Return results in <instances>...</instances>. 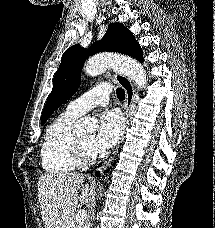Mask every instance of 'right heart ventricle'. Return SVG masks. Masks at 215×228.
Instances as JSON below:
<instances>
[{
  "mask_svg": "<svg viewBox=\"0 0 215 228\" xmlns=\"http://www.w3.org/2000/svg\"><path fill=\"white\" fill-rule=\"evenodd\" d=\"M78 118L69 111L57 116L48 126L41 145L43 169L51 174H66L76 170L80 163L74 152L73 125Z\"/></svg>",
  "mask_w": 215,
  "mask_h": 228,
  "instance_id": "right-heart-ventricle-1",
  "label": "right heart ventricle"
}]
</instances>
